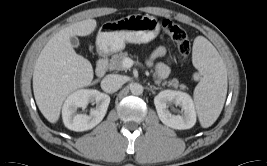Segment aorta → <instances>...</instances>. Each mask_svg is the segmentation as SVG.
I'll return each mask as SVG.
<instances>
[{
  "label": "aorta",
  "instance_id": "obj_1",
  "mask_svg": "<svg viewBox=\"0 0 267 166\" xmlns=\"http://www.w3.org/2000/svg\"><path fill=\"white\" fill-rule=\"evenodd\" d=\"M130 91L133 95H141L143 93V86L139 83H134L130 86Z\"/></svg>",
  "mask_w": 267,
  "mask_h": 166
}]
</instances>
